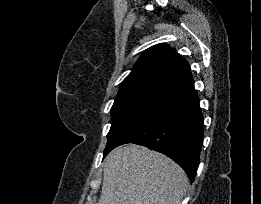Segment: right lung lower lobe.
<instances>
[{
  "instance_id": "right-lung-lower-lobe-1",
  "label": "right lung lower lobe",
  "mask_w": 261,
  "mask_h": 204,
  "mask_svg": "<svg viewBox=\"0 0 261 204\" xmlns=\"http://www.w3.org/2000/svg\"><path fill=\"white\" fill-rule=\"evenodd\" d=\"M204 119L194 80L172 90L147 116L126 132L108 151L135 143L173 159L194 181L203 142Z\"/></svg>"
}]
</instances>
